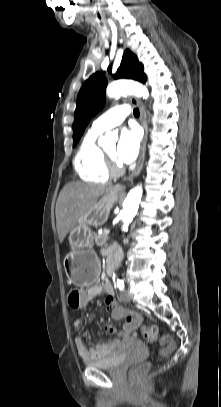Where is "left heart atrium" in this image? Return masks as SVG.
I'll return each instance as SVG.
<instances>
[{
	"mask_svg": "<svg viewBox=\"0 0 221 407\" xmlns=\"http://www.w3.org/2000/svg\"><path fill=\"white\" fill-rule=\"evenodd\" d=\"M140 148V133L136 129H123L116 148V159L122 164L132 163Z\"/></svg>",
	"mask_w": 221,
	"mask_h": 407,
	"instance_id": "obj_1",
	"label": "left heart atrium"
}]
</instances>
